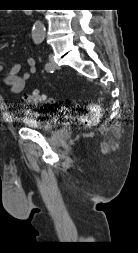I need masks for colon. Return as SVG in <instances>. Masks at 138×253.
<instances>
[{
	"instance_id": "5ec220e1",
	"label": "colon",
	"mask_w": 138,
	"mask_h": 253,
	"mask_svg": "<svg viewBox=\"0 0 138 253\" xmlns=\"http://www.w3.org/2000/svg\"><path fill=\"white\" fill-rule=\"evenodd\" d=\"M23 101L27 104H42V103H50L52 99L39 91H33L30 94H26L23 97ZM101 116V108L97 104L90 105L85 114L83 115V123L86 126L95 125Z\"/></svg>"
}]
</instances>
